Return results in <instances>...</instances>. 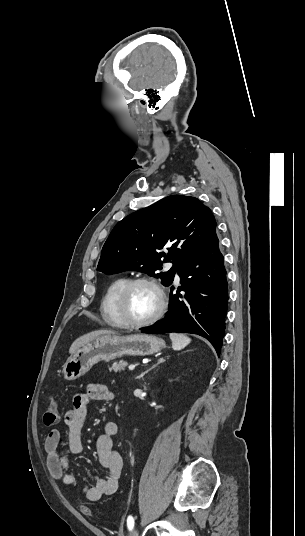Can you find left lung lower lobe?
Listing matches in <instances>:
<instances>
[{"label":"left lung lower lobe","instance_id":"0a47b994","mask_svg":"<svg viewBox=\"0 0 305 536\" xmlns=\"http://www.w3.org/2000/svg\"><path fill=\"white\" fill-rule=\"evenodd\" d=\"M223 259L215 230L203 246L177 269L181 286L176 294H172L174 287L171 288L169 311L165 317L141 331L149 334H197L209 340L219 356L228 305Z\"/></svg>","mask_w":305,"mask_h":536}]
</instances>
